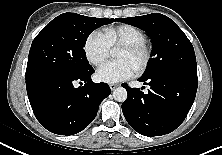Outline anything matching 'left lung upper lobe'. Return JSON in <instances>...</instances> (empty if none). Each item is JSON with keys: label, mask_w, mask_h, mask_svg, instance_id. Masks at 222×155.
Segmentation results:
<instances>
[{"label": "left lung upper lobe", "mask_w": 222, "mask_h": 155, "mask_svg": "<svg viewBox=\"0 0 222 155\" xmlns=\"http://www.w3.org/2000/svg\"><path fill=\"white\" fill-rule=\"evenodd\" d=\"M118 21L146 31L151 38L152 53L144 76L172 71L197 76L193 46L173 20L165 15L152 13L121 18Z\"/></svg>", "instance_id": "left-lung-upper-lobe-1"}]
</instances>
